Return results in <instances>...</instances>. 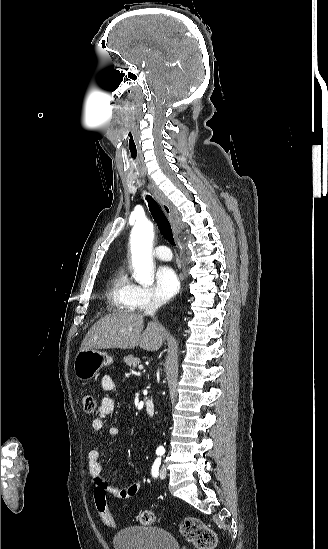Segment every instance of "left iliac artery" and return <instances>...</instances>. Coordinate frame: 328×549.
<instances>
[{
  "mask_svg": "<svg viewBox=\"0 0 328 549\" xmlns=\"http://www.w3.org/2000/svg\"><path fill=\"white\" fill-rule=\"evenodd\" d=\"M160 464H161V458L159 457L154 461V463L152 465L151 472H152V476L155 477V478L158 476Z\"/></svg>",
  "mask_w": 328,
  "mask_h": 549,
  "instance_id": "44dca946",
  "label": "left iliac artery"
}]
</instances>
